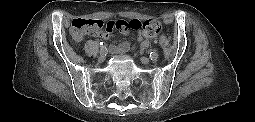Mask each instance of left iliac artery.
Segmentation results:
<instances>
[{
  "instance_id": "44dca946",
  "label": "left iliac artery",
  "mask_w": 255,
  "mask_h": 122,
  "mask_svg": "<svg viewBox=\"0 0 255 122\" xmlns=\"http://www.w3.org/2000/svg\"><path fill=\"white\" fill-rule=\"evenodd\" d=\"M149 56H150V59H151L152 61H156V60L158 59V53L155 52V51H151V52L149 53Z\"/></svg>"
}]
</instances>
